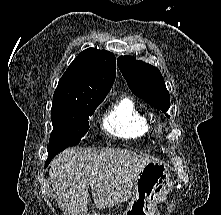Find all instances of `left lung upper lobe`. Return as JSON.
<instances>
[{
    "mask_svg": "<svg viewBox=\"0 0 221 215\" xmlns=\"http://www.w3.org/2000/svg\"><path fill=\"white\" fill-rule=\"evenodd\" d=\"M122 75L131 91L145 102L166 113L170 107L169 92L160 71L150 64L136 61L132 56L117 60ZM169 118L170 116L166 114Z\"/></svg>",
    "mask_w": 221,
    "mask_h": 215,
    "instance_id": "left-lung-upper-lobe-1",
    "label": "left lung upper lobe"
}]
</instances>
